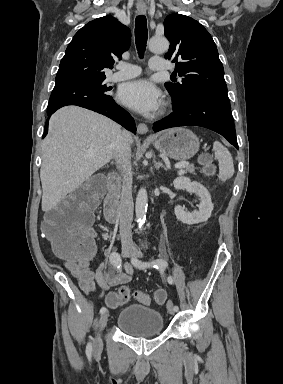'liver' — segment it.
<instances>
[{
  "label": "liver",
  "mask_w": 283,
  "mask_h": 384,
  "mask_svg": "<svg viewBox=\"0 0 283 384\" xmlns=\"http://www.w3.org/2000/svg\"><path fill=\"white\" fill-rule=\"evenodd\" d=\"M119 134L118 124L78 106H65L51 116L49 134L42 144L43 212L56 208L112 160V146ZM132 142L130 138L129 144Z\"/></svg>",
  "instance_id": "obj_1"
}]
</instances>
